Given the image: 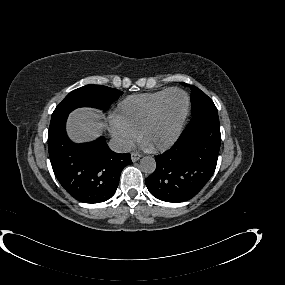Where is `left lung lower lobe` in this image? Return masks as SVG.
I'll return each instance as SVG.
<instances>
[{
    "label": "left lung lower lobe",
    "mask_w": 285,
    "mask_h": 285,
    "mask_svg": "<svg viewBox=\"0 0 285 285\" xmlns=\"http://www.w3.org/2000/svg\"><path fill=\"white\" fill-rule=\"evenodd\" d=\"M220 142L216 106L192 115L176 143L155 157L157 167L145 179L149 192L157 199L173 203L193 198L215 171Z\"/></svg>",
    "instance_id": "left-lung-lower-lobe-1"
}]
</instances>
